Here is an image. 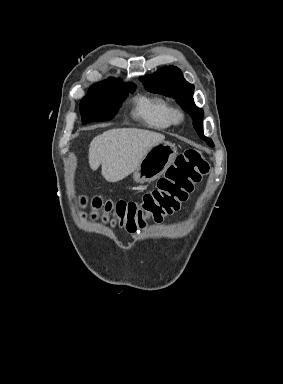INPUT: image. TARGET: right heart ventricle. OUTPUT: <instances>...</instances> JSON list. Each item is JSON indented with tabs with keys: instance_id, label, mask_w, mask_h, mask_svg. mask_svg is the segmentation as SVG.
Masks as SVG:
<instances>
[{
	"instance_id": "right-heart-ventricle-1",
	"label": "right heart ventricle",
	"mask_w": 283,
	"mask_h": 384,
	"mask_svg": "<svg viewBox=\"0 0 283 384\" xmlns=\"http://www.w3.org/2000/svg\"><path fill=\"white\" fill-rule=\"evenodd\" d=\"M169 109V102L161 96L138 94L133 100V114L155 130H166L172 125Z\"/></svg>"
}]
</instances>
